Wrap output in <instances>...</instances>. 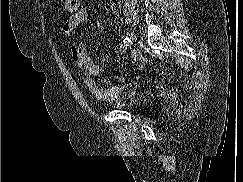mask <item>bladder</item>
I'll return each mask as SVG.
<instances>
[{"instance_id":"1","label":"bladder","mask_w":243,"mask_h":182,"mask_svg":"<svg viewBox=\"0 0 243 182\" xmlns=\"http://www.w3.org/2000/svg\"><path fill=\"white\" fill-rule=\"evenodd\" d=\"M146 95L143 92L130 90L116 99L111 107L115 110H133L146 103Z\"/></svg>"}]
</instances>
